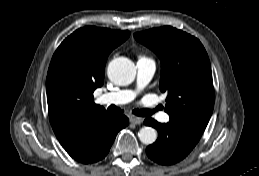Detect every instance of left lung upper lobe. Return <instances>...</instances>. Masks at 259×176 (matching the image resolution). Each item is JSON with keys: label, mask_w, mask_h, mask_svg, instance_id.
Instances as JSON below:
<instances>
[{"label": "left lung upper lobe", "mask_w": 259, "mask_h": 176, "mask_svg": "<svg viewBox=\"0 0 259 176\" xmlns=\"http://www.w3.org/2000/svg\"><path fill=\"white\" fill-rule=\"evenodd\" d=\"M162 64L160 90L166 92L170 121L203 133L214 107L210 61L201 42L170 26L134 34Z\"/></svg>", "instance_id": "obj_1"}]
</instances>
